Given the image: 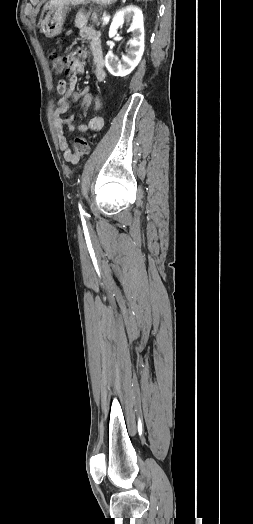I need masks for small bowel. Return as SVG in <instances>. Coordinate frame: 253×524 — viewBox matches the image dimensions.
<instances>
[{
    "label": "small bowel",
    "mask_w": 253,
    "mask_h": 524,
    "mask_svg": "<svg viewBox=\"0 0 253 524\" xmlns=\"http://www.w3.org/2000/svg\"><path fill=\"white\" fill-rule=\"evenodd\" d=\"M75 26L79 29L80 36L89 42L90 57L93 65V74L97 81L102 82L105 80L106 73L104 68L103 49L101 43V33L99 30L89 27L87 25L86 18L81 16L75 21ZM67 38L72 36L70 31L65 33ZM77 54L81 59H87L88 53L84 49H78ZM70 55V52H67ZM74 56H69L66 59L67 65L64 68L65 73L70 77V86L68 87L65 81H61L58 84V92L62 97L58 101L57 109L54 114V122L57 131V137L60 149L64 152L66 160L67 155L70 151L69 142L67 140L65 130L74 131L76 128L79 131H86L90 129L92 131H99L103 127V120L100 117L91 118L88 123H80L78 126L74 123V117H64L68 113L70 108L69 99L74 102H80L81 117H84L88 108L92 105L95 110H99L102 106L101 99L99 97L91 96L88 93V88L81 92L74 90V84L76 76L85 71L83 62Z\"/></svg>",
    "instance_id": "c3829d8e"
}]
</instances>
